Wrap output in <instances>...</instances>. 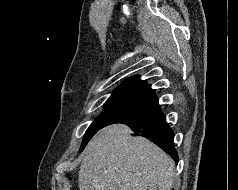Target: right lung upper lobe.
<instances>
[{
  "mask_svg": "<svg viewBox=\"0 0 238 190\" xmlns=\"http://www.w3.org/2000/svg\"><path fill=\"white\" fill-rule=\"evenodd\" d=\"M114 97H129L145 102H150L155 105L158 104V98L154 91L145 82L140 80V77H132L124 81L112 94L110 98Z\"/></svg>",
  "mask_w": 238,
  "mask_h": 190,
  "instance_id": "obj_1",
  "label": "right lung upper lobe"
}]
</instances>
